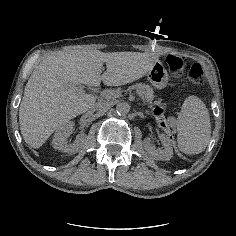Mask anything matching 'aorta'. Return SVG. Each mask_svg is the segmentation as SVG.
<instances>
[{
  "instance_id": "762f6f07",
  "label": "aorta",
  "mask_w": 236,
  "mask_h": 236,
  "mask_svg": "<svg viewBox=\"0 0 236 236\" xmlns=\"http://www.w3.org/2000/svg\"><path fill=\"white\" fill-rule=\"evenodd\" d=\"M130 111V105L127 102H119L116 105V112L119 115H126Z\"/></svg>"
}]
</instances>
